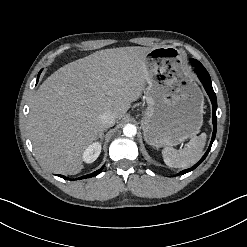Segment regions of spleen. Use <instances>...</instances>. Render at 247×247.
I'll return each instance as SVG.
<instances>
[{
    "label": "spleen",
    "mask_w": 247,
    "mask_h": 247,
    "mask_svg": "<svg viewBox=\"0 0 247 247\" xmlns=\"http://www.w3.org/2000/svg\"><path fill=\"white\" fill-rule=\"evenodd\" d=\"M206 143V134L194 136L184 149L176 150L172 147H166L162 150L164 162L169 167L187 168L196 163L202 156Z\"/></svg>",
    "instance_id": "1"
}]
</instances>
